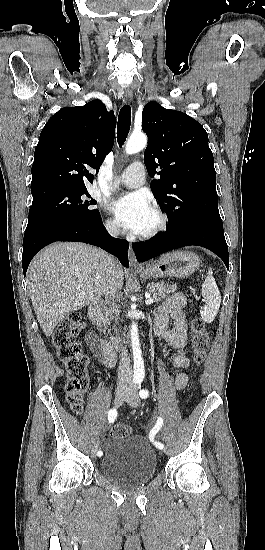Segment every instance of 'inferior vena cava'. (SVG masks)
Returning a JSON list of instances; mask_svg holds the SVG:
<instances>
[{"instance_id": "inferior-vena-cava-1", "label": "inferior vena cava", "mask_w": 265, "mask_h": 550, "mask_svg": "<svg viewBox=\"0 0 265 550\" xmlns=\"http://www.w3.org/2000/svg\"><path fill=\"white\" fill-rule=\"evenodd\" d=\"M106 229L110 233V235L114 237H118L119 235V229L114 224H108L106 225ZM107 282L106 287L104 291L105 300L109 304V306L112 304L111 300H114L116 298L117 294V285H116V266H115V260L112 256L107 257ZM124 341H122L123 343ZM132 381V366L130 362V357L128 354V350L124 345L121 346L120 350V362L118 367V382L130 384Z\"/></svg>"}]
</instances>
